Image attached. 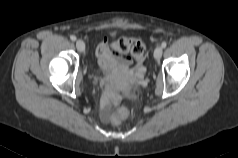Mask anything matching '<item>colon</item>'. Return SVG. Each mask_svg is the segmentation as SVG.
Instances as JSON below:
<instances>
[{
  "mask_svg": "<svg viewBox=\"0 0 238 158\" xmlns=\"http://www.w3.org/2000/svg\"><path fill=\"white\" fill-rule=\"evenodd\" d=\"M115 51L121 55L130 54L134 59L140 61L144 58L146 53L145 45L137 39L121 37L113 43ZM129 111L125 106L116 107L110 117L111 125H121L128 117Z\"/></svg>",
  "mask_w": 238,
  "mask_h": 158,
  "instance_id": "colon-1",
  "label": "colon"
}]
</instances>
